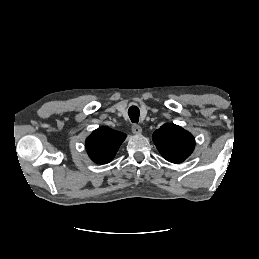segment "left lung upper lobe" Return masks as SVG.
Returning <instances> with one entry per match:
<instances>
[{"label":"left lung upper lobe","instance_id":"obj_1","mask_svg":"<svg viewBox=\"0 0 259 259\" xmlns=\"http://www.w3.org/2000/svg\"><path fill=\"white\" fill-rule=\"evenodd\" d=\"M153 141L161 155L172 163L186 160L195 147L192 134L175 124H164L157 129Z\"/></svg>","mask_w":259,"mask_h":259}]
</instances>
